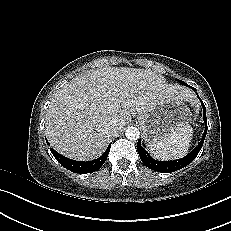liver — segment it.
Segmentation results:
<instances>
[{
    "label": "liver",
    "instance_id": "1",
    "mask_svg": "<svg viewBox=\"0 0 231 231\" xmlns=\"http://www.w3.org/2000/svg\"><path fill=\"white\" fill-rule=\"evenodd\" d=\"M190 91L169 85L149 69L104 67L77 76L60 88L46 114L51 146L71 159L98 158L131 114H142L165 99L187 100ZM117 128L116 134L108 132Z\"/></svg>",
    "mask_w": 231,
    "mask_h": 231
}]
</instances>
